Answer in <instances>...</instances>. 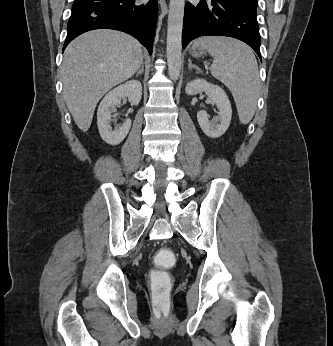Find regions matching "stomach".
<instances>
[{
  "mask_svg": "<svg viewBox=\"0 0 333 346\" xmlns=\"http://www.w3.org/2000/svg\"><path fill=\"white\" fill-rule=\"evenodd\" d=\"M204 49L201 48V47H192L191 48V51H190V54L193 56V57H200L204 54Z\"/></svg>",
  "mask_w": 333,
  "mask_h": 346,
  "instance_id": "1",
  "label": "stomach"
}]
</instances>
